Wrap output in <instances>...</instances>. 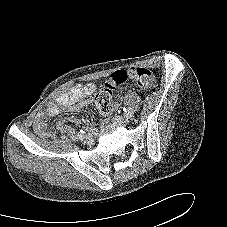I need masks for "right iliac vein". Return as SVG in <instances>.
<instances>
[{"mask_svg":"<svg viewBox=\"0 0 227 227\" xmlns=\"http://www.w3.org/2000/svg\"><path fill=\"white\" fill-rule=\"evenodd\" d=\"M83 142L85 143H91L92 142V137L90 135H87V136H84L82 139H81Z\"/></svg>","mask_w":227,"mask_h":227,"instance_id":"right-iliac-vein-1","label":"right iliac vein"}]
</instances>
